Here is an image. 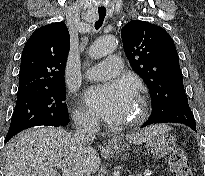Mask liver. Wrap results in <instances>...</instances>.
<instances>
[{
  "label": "liver",
  "instance_id": "liver-1",
  "mask_svg": "<svg viewBox=\"0 0 205 176\" xmlns=\"http://www.w3.org/2000/svg\"><path fill=\"white\" fill-rule=\"evenodd\" d=\"M154 129L151 126L126 138L130 143L142 144L152 136ZM4 159L5 176H60L55 168H68L89 176L101 163L94 148L78 146L69 132L52 127L30 129L16 135L6 145Z\"/></svg>",
  "mask_w": 205,
  "mask_h": 176
}]
</instances>
